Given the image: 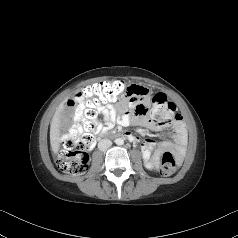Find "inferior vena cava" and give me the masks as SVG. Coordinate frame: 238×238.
Here are the masks:
<instances>
[{
	"mask_svg": "<svg viewBox=\"0 0 238 238\" xmlns=\"http://www.w3.org/2000/svg\"><path fill=\"white\" fill-rule=\"evenodd\" d=\"M111 145H112L111 140H109V139H102L98 143V148H99V150L103 151V150L108 149Z\"/></svg>",
	"mask_w": 238,
	"mask_h": 238,
	"instance_id": "602c4592",
	"label": "inferior vena cava"
}]
</instances>
